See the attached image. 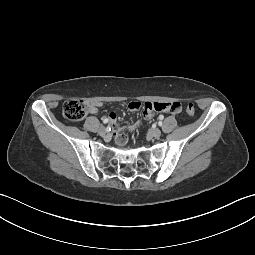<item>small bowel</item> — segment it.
Listing matches in <instances>:
<instances>
[{"mask_svg":"<svg viewBox=\"0 0 255 255\" xmlns=\"http://www.w3.org/2000/svg\"><path fill=\"white\" fill-rule=\"evenodd\" d=\"M98 103H92L90 104V113L91 114H97L98 113ZM143 106V112L144 116L146 118H151L156 113L159 112H166V113H173L176 115H179L183 112L184 107L183 104L180 101H173V102H146L143 105L140 102H131L130 108H139ZM108 120H111L114 122L116 120V114L110 113L108 116ZM134 129V127H131L130 130ZM115 137L119 143H123L125 141V135L123 133L122 128H116L115 129Z\"/></svg>","mask_w":255,"mask_h":255,"instance_id":"c3829d8e","label":"small bowel"}]
</instances>
